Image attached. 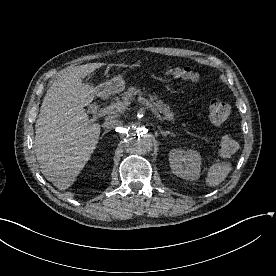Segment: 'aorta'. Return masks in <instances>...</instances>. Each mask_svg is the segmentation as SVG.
<instances>
[{"label": "aorta", "mask_w": 276, "mask_h": 276, "mask_svg": "<svg viewBox=\"0 0 276 276\" xmlns=\"http://www.w3.org/2000/svg\"><path fill=\"white\" fill-rule=\"evenodd\" d=\"M125 147L128 152L143 155L152 150V136L134 125H129L124 129Z\"/></svg>", "instance_id": "obj_1"}]
</instances>
